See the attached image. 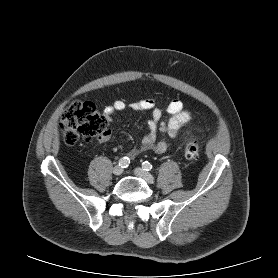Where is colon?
<instances>
[{"label": "colon", "instance_id": "obj_1", "mask_svg": "<svg viewBox=\"0 0 278 278\" xmlns=\"http://www.w3.org/2000/svg\"><path fill=\"white\" fill-rule=\"evenodd\" d=\"M107 117L91 102L74 101L63 111L60 127L64 143L75 145L80 139L92 141L106 132ZM184 155L188 160L199 157V146L193 139L187 140Z\"/></svg>", "mask_w": 278, "mask_h": 278}]
</instances>
